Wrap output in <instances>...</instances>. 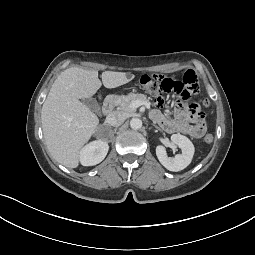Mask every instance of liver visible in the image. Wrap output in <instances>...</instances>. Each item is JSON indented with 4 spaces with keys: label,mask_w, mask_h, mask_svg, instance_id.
Returning a JSON list of instances; mask_svg holds the SVG:
<instances>
[{
    "label": "liver",
    "mask_w": 255,
    "mask_h": 255,
    "mask_svg": "<svg viewBox=\"0 0 255 255\" xmlns=\"http://www.w3.org/2000/svg\"><path fill=\"white\" fill-rule=\"evenodd\" d=\"M134 77L105 71L101 82L98 71L79 67H70L57 77L42 106L41 120L47 148L58 163L78 167L80 151L99 124L96 114L80 100L91 98L102 84L116 88Z\"/></svg>",
    "instance_id": "obj_1"
}]
</instances>
